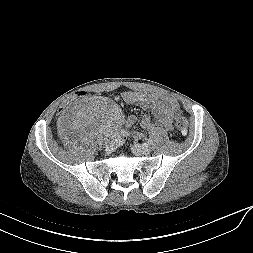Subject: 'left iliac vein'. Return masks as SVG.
Wrapping results in <instances>:
<instances>
[{
    "label": "left iliac vein",
    "instance_id": "1",
    "mask_svg": "<svg viewBox=\"0 0 253 253\" xmlns=\"http://www.w3.org/2000/svg\"><path fill=\"white\" fill-rule=\"evenodd\" d=\"M132 152L135 155H148L151 152V148L147 145L134 144Z\"/></svg>",
    "mask_w": 253,
    "mask_h": 253
}]
</instances>
